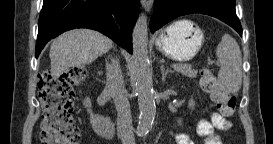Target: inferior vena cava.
<instances>
[{
	"mask_svg": "<svg viewBox=\"0 0 273 144\" xmlns=\"http://www.w3.org/2000/svg\"><path fill=\"white\" fill-rule=\"evenodd\" d=\"M106 80L116 106L122 144H135L128 94L124 89L123 75L118 61L112 60L111 64H107Z\"/></svg>",
	"mask_w": 273,
	"mask_h": 144,
	"instance_id": "1",
	"label": "inferior vena cava"
}]
</instances>
